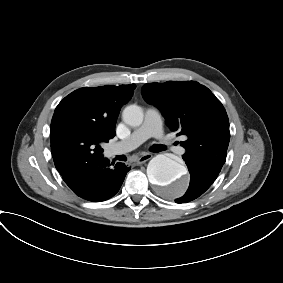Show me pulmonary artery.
Here are the masks:
<instances>
[{"label":"pulmonary artery","mask_w":283,"mask_h":283,"mask_svg":"<svg viewBox=\"0 0 283 283\" xmlns=\"http://www.w3.org/2000/svg\"><path fill=\"white\" fill-rule=\"evenodd\" d=\"M150 137H155L167 148L175 151L172 141L165 137L162 127V117L155 108H148L142 125L125 140L112 146L113 154H120L135 149Z\"/></svg>","instance_id":"e3ab8cb5"}]
</instances>
